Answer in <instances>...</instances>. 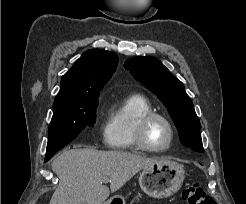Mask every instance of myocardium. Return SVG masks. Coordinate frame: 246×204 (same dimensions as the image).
Listing matches in <instances>:
<instances>
[{
    "label": "myocardium",
    "mask_w": 246,
    "mask_h": 204,
    "mask_svg": "<svg viewBox=\"0 0 246 204\" xmlns=\"http://www.w3.org/2000/svg\"><path fill=\"white\" fill-rule=\"evenodd\" d=\"M155 119H159L163 121L167 125L170 131V139L167 145L162 148L152 147L147 141L148 127L151 124V122ZM174 139H175L174 125L165 115L155 112V111H151V112L146 113L139 119L136 130H135V141H136L137 146L140 149L147 151V152H152V153L165 152L168 149H170V147L172 146L174 142Z\"/></svg>",
    "instance_id": "obj_1"
}]
</instances>
